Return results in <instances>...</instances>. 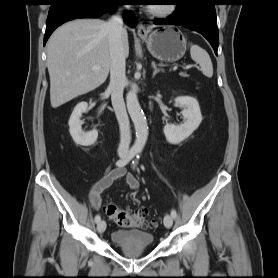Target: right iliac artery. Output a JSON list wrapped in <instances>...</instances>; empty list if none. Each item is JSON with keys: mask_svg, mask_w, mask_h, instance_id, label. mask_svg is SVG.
<instances>
[{"mask_svg": "<svg viewBox=\"0 0 278 278\" xmlns=\"http://www.w3.org/2000/svg\"><path fill=\"white\" fill-rule=\"evenodd\" d=\"M137 152H138L137 149H134V148L130 149V151L127 154L126 157H124V158H122V159H120L116 162V166H118V167L125 166L126 164H128L135 157ZM100 220H101L100 215H96L95 216V222L98 223V222H100Z\"/></svg>", "mask_w": 278, "mask_h": 278, "instance_id": "82829eb1", "label": "right iliac artery"}]
</instances>
